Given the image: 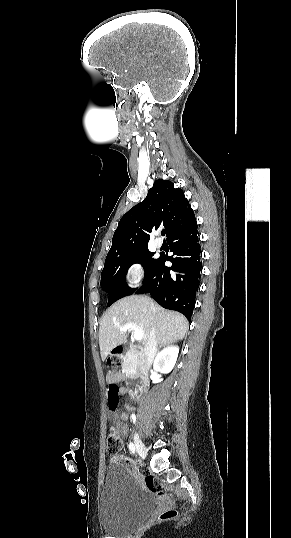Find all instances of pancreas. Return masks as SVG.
I'll use <instances>...</instances> for the list:
<instances>
[{
	"instance_id": "pancreas-1",
	"label": "pancreas",
	"mask_w": 291,
	"mask_h": 538,
	"mask_svg": "<svg viewBox=\"0 0 291 538\" xmlns=\"http://www.w3.org/2000/svg\"><path fill=\"white\" fill-rule=\"evenodd\" d=\"M135 359V354L134 352L130 351L128 352L124 357H123V366L126 367L127 365H129L131 363V361H133ZM136 364L138 363V360L136 359L135 360Z\"/></svg>"
}]
</instances>
